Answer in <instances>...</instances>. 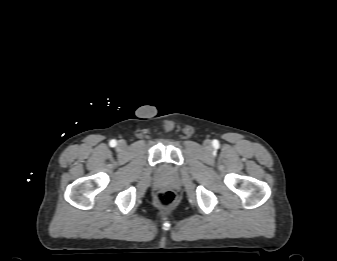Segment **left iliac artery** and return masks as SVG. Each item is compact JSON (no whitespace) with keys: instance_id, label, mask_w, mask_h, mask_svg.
<instances>
[{"instance_id":"left-iliac-artery-1","label":"left iliac artery","mask_w":337,"mask_h":261,"mask_svg":"<svg viewBox=\"0 0 337 261\" xmlns=\"http://www.w3.org/2000/svg\"><path fill=\"white\" fill-rule=\"evenodd\" d=\"M215 145H218V142L214 141V146H215Z\"/></svg>"}]
</instances>
